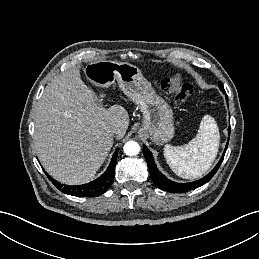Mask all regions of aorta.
I'll return each mask as SVG.
<instances>
[{"label": "aorta", "mask_w": 259, "mask_h": 259, "mask_svg": "<svg viewBox=\"0 0 259 259\" xmlns=\"http://www.w3.org/2000/svg\"><path fill=\"white\" fill-rule=\"evenodd\" d=\"M124 153L129 156L137 155L140 151V146L137 142L129 141L123 147Z\"/></svg>", "instance_id": "1"}]
</instances>
